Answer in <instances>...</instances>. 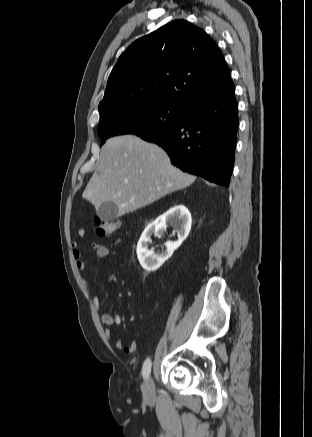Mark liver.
<instances>
[{
    "mask_svg": "<svg viewBox=\"0 0 312 437\" xmlns=\"http://www.w3.org/2000/svg\"><path fill=\"white\" fill-rule=\"evenodd\" d=\"M195 178L173 166L156 144L135 135L116 136L103 145L82 197L96 209L111 201L124 215L189 186Z\"/></svg>",
    "mask_w": 312,
    "mask_h": 437,
    "instance_id": "liver-1",
    "label": "liver"
}]
</instances>
